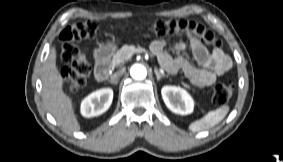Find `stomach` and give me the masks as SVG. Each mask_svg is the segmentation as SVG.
I'll return each instance as SVG.
<instances>
[{"label":"stomach","mask_w":283,"mask_h":162,"mask_svg":"<svg viewBox=\"0 0 283 162\" xmlns=\"http://www.w3.org/2000/svg\"><path fill=\"white\" fill-rule=\"evenodd\" d=\"M103 52L106 55L112 54L116 50V45L113 43H108L103 47Z\"/></svg>","instance_id":"1"}]
</instances>
